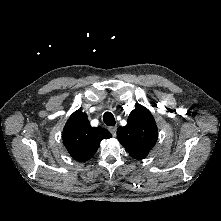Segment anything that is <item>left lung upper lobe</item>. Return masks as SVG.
Here are the masks:
<instances>
[{
	"label": "left lung upper lobe",
	"instance_id": "left-lung-upper-lobe-1",
	"mask_svg": "<svg viewBox=\"0 0 221 221\" xmlns=\"http://www.w3.org/2000/svg\"><path fill=\"white\" fill-rule=\"evenodd\" d=\"M117 137L133 158H145L158 137L157 125L150 111L138 105L130 113L127 125L117 129Z\"/></svg>",
	"mask_w": 221,
	"mask_h": 221
}]
</instances>
